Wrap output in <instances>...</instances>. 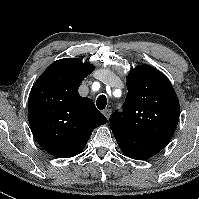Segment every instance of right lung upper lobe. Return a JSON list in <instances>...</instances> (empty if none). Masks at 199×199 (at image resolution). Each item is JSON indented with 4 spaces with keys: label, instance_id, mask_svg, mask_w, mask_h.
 <instances>
[{
    "label": "right lung upper lobe",
    "instance_id": "1",
    "mask_svg": "<svg viewBox=\"0 0 199 199\" xmlns=\"http://www.w3.org/2000/svg\"><path fill=\"white\" fill-rule=\"evenodd\" d=\"M95 67L78 58L53 62L37 79L28 99L32 134L39 145L59 158L78 155L93 130L106 124L94 102L78 93Z\"/></svg>",
    "mask_w": 199,
    "mask_h": 199
}]
</instances>
